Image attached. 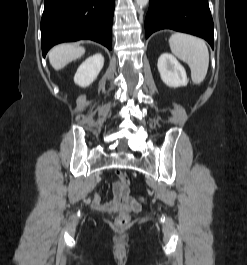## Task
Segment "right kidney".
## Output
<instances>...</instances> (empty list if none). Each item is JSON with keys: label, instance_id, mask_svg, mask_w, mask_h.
Wrapping results in <instances>:
<instances>
[{"label": "right kidney", "instance_id": "obj_1", "mask_svg": "<svg viewBox=\"0 0 247 265\" xmlns=\"http://www.w3.org/2000/svg\"><path fill=\"white\" fill-rule=\"evenodd\" d=\"M104 65V58L97 53L87 58L77 69L74 82L81 86H89L98 76Z\"/></svg>", "mask_w": 247, "mask_h": 265}]
</instances>
